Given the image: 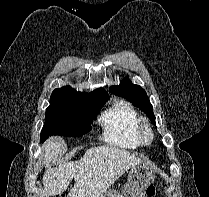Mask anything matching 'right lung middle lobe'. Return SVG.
Segmentation results:
<instances>
[{"label": "right lung middle lobe", "mask_w": 209, "mask_h": 197, "mask_svg": "<svg viewBox=\"0 0 209 197\" xmlns=\"http://www.w3.org/2000/svg\"><path fill=\"white\" fill-rule=\"evenodd\" d=\"M106 101L90 98L74 89H55L46 109L41 141L51 135L77 137L88 133L92 120Z\"/></svg>", "instance_id": "dd1d6c3e"}]
</instances>
